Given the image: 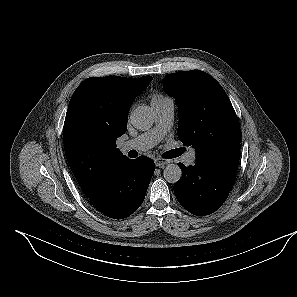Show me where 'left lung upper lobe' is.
Instances as JSON below:
<instances>
[{
	"label": "left lung upper lobe",
	"instance_id": "left-lung-upper-lobe-1",
	"mask_svg": "<svg viewBox=\"0 0 297 297\" xmlns=\"http://www.w3.org/2000/svg\"><path fill=\"white\" fill-rule=\"evenodd\" d=\"M164 90L179 111L178 137L196 149V160H206L241 141L239 121L222 86L209 74L180 71L163 79Z\"/></svg>",
	"mask_w": 297,
	"mask_h": 297
}]
</instances>
